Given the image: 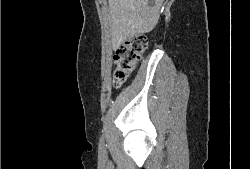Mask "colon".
Listing matches in <instances>:
<instances>
[{
  "instance_id": "obj_1",
  "label": "colon",
  "mask_w": 250,
  "mask_h": 169,
  "mask_svg": "<svg viewBox=\"0 0 250 169\" xmlns=\"http://www.w3.org/2000/svg\"><path fill=\"white\" fill-rule=\"evenodd\" d=\"M146 34H132L131 38H123L114 56L113 84L121 87L137 67L146 43H151V38Z\"/></svg>"
}]
</instances>
